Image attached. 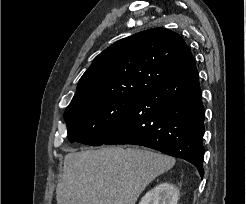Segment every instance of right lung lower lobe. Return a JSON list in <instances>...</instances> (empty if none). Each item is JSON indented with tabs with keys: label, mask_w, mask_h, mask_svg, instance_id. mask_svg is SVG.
I'll return each mask as SVG.
<instances>
[{
	"label": "right lung lower lobe",
	"mask_w": 246,
	"mask_h": 204,
	"mask_svg": "<svg viewBox=\"0 0 246 204\" xmlns=\"http://www.w3.org/2000/svg\"><path fill=\"white\" fill-rule=\"evenodd\" d=\"M204 107L195 64L134 101L122 126L103 144H134L192 163L204 175Z\"/></svg>",
	"instance_id": "1"
}]
</instances>
